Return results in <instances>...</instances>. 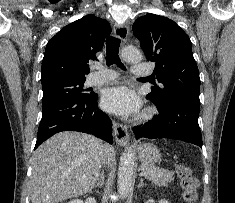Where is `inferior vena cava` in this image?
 I'll return each mask as SVG.
<instances>
[{
  "instance_id": "602c4592",
  "label": "inferior vena cava",
  "mask_w": 235,
  "mask_h": 203,
  "mask_svg": "<svg viewBox=\"0 0 235 203\" xmlns=\"http://www.w3.org/2000/svg\"><path fill=\"white\" fill-rule=\"evenodd\" d=\"M105 162H106V159L104 158V162L103 163L105 164Z\"/></svg>"
}]
</instances>
